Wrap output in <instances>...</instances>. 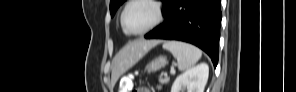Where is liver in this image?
I'll list each match as a JSON object with an SVG mask.
<instances>
[{
  "label": "liver",
  "mask_w": 296,
  "mask_h": 92,
  "mask_svg": "<svg viewBox=\"0 0 296 92\" xmlns=\"http://www.w3.org/2000/svg\"><path fill=\"white\" fill-rule=\"evenodd\" d=\"M160 43L159 40H137L123 47L112 62L111 82L114 85L119 77L137 63L150 49Z\"/></svg>",
  "instance_id": "obj_1"
}]
</instances>
